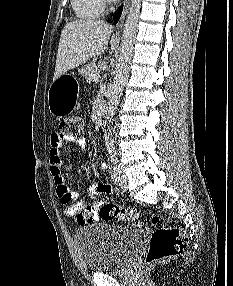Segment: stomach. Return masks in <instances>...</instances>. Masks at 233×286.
<instances>
[{
    "label": "stomach",
    "mask_w": 233,
    "mask_h": 286,
    "mask_svg": "<svg viewBox=\"0 0 233 286\" xmlns=\"http://www.w3.org/2000/svg\"><path fill=\"white\" fill-rule=\"evenodd\" d=\"M61 75L54 79L48 90V105L50 113L61 118L69 114L77 102V90L72 88Z\"/></svg>",
    "instance_id": "stomach-1"
}]
</instances>
